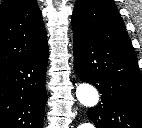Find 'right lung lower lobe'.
<instances>
[{
  "label": "right lung lower lobe",
  "instance_id": "obj_1",
  "mask_svg": "<svg viewBox=\"0 0 142 128\" xmlns=\"http://www.w3.org/2000/svg\"><path fill=\"white\" fill-rule=\"evenodd\" d=\"M48 44L0 71V128H42Z\"/></svg>",
  "mask_w": 142,
  "mask_h": 128
}]
</instances>
